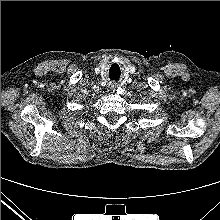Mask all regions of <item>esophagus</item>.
Wrapping results in <instances>:
<instances>
[{
    "mask_svg": "<svg viewBox=\"0 0 220 220\" xmlns=\"http://www.w3.org/2000/svg\"><path fill=\"white\" fill-rule=\"evenodd\" d=\"M111 87H112V88H115V87H116V84H112Z\"/></svg>",
    "mask_w": 220,
    "mask_h": 220,
    "instance_id": "1",
    "label": "esophagus"
}]
</instances>
